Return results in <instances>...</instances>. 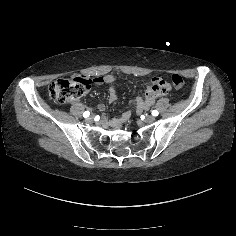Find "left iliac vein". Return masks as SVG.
Returning a JSON list of instances; mask_svg holds the SVG:
<instances>
[{
    "mask_svg": "<svg viewBox=\"0 0 236 236\" xmlns=\"http://www.w3.org/2000/svg\"><path fill=\"white\" fill-rule=\"evenodd\" d=\"M144 121L146 122V123H153L154 121H155V117L154 116H146L145 117V119H144Z\"/></svg>",
    "mask_w": 236,
    "mask_h": 236,
    "instance_id": "1",
    "label": "left iliac vein"
}]
</instances>
